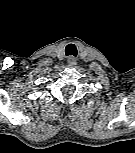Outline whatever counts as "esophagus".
<instances>
[{"instance_id":"obj_1","label":"esophagus","mask_w":135,"mask_h":153,"mask_svg":"<svg viewBox=\"0 0 135 153\" xmlns=\"http://www.w3.org/2000/svg\"><path fill=\"white\" fill-rule=\"evenodd\" d=\"M67 62H68L69 65L73 66V65H76L77 60H76L75 57L70 56V57L67 59Z\"/></svg>"}]
</instances>
